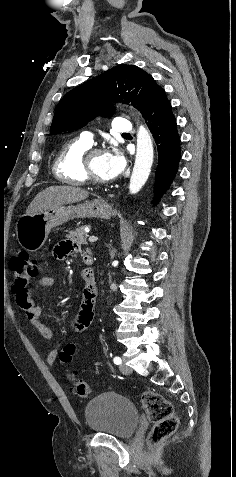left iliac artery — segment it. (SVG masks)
Wrapping results in <instances>:
<instances>
[{
    "label": "left iliac artery",
    "instance_id": "left-iliac-artery-1",
    "mask_svg": "<svg viewBox=\"0 0 236 477\" xmlns=\"http://www.w3.org/2000/svg\"><path fill=\"white\" fill-rule=\"evenodd\" d=\"M113 361H114V363H115L116 365H119V364L122 363V360H121L120 357H115Z\"/></svg>",
    "mask_w": 236,
    "mask_h": 477
}]
</instances>
